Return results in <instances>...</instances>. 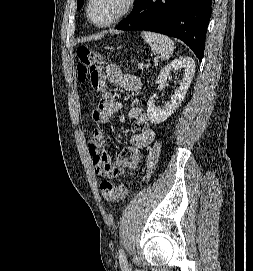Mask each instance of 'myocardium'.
<instances>
[{
  "label": "myocardium",
  "instance_id": "1",
  "mask_svg": "<svg viewBox=\"0 0 253 271\" xmlns=\"http://www.w3.org/2000/svg\"><path fill=\"white\" fill-rule=\"evenodd\" d=\"M94 0H89L88 4H87V8H86V15L87 18L89 19V21L98 28H106L109 27L115 23H117L118 21H120L122 18H124L125 16H127L129 13H131V11L134 9L137 0H126L125 1V6L122 9V11L120 13H118L115 17H113L111 20H109L106 23L103 24H98L96 23L92 16H91V6Z\"/></svg>",
  "mask_w": 253,
  "mask_h": 271
}]
</instances>
